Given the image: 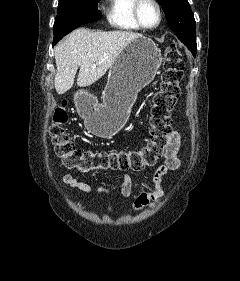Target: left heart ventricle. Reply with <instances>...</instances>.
I'll list each match as a JSON object with an SVG mask.
<instances>
[{
    "label": "left heart ventricle",
    "instance_id": "left-heart-ventricle-1",
    "mask_svg": "<svg viewBox=\"0 0 240 281\" xmlns=\"http://www.w3.org/2000/svg\"><path fill=\"white\" fill-rule=\"evenodd\" d=\"M140 16L143 23L147 26H153L158 21V12L155 5L146 0L140 6Z\"/></svg>",
    "mask_w": 240,
    "mask_h": 281
}]
</instances>
